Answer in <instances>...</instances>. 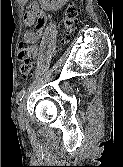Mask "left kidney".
<instances>
[{
	"mask_svg": "<svg viewBox=\"0 0 123 167\" xmlns=\"http://www.w3.org/2000/svg\"><path fill=\"white\" fill-rule=\"evenodd\" d=\"M66 1H68V0H58L50 8L51 9H57L58 7H60L61 5H63V3H65Z\"/></svg>",
	"mask_w": 123,
	"mask_h": 167,
	"instance_id": "1",
	"label": "left kidney"
}]
</instances>
